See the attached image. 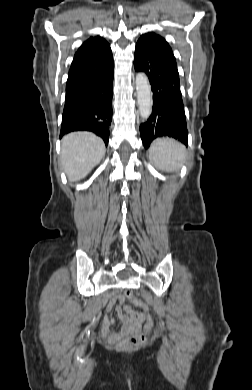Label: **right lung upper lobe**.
I'll list each match as a JSON object with an SVG mask.
<instances>
[{
  "label": "right lung upper lobe",
  "mask_w": 252,
  "mask_h": 390,
  "mask_svg": "<svg viewBox=\"0 0 252 390\" xmlns=\"http://www.w3.org/2000/svg\"><path fill=\"white\" fill-rule=\"evenodd\" d=\"M113 66L108 42L97 36L86 40L75 53L66 87L87 78L105 74Z\"/></svg>",
  "instance_id": "right-lung-upper-lobe-1"
}]
</instances>
